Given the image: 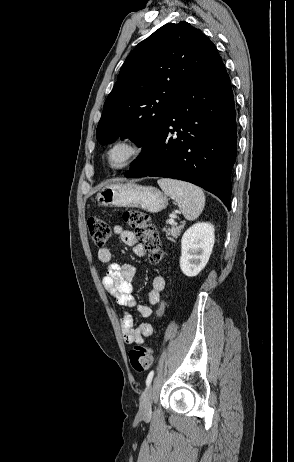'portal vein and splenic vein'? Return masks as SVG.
<instances>
[{
  "label": "portal vein and splenic vein",
  "mask_w": 294,
  "mask_h": 462,
  "mask_svg": "<svg viewBox=\"0 0 294 462\" xmlns=\"http://www.w3.org/2000/svg\"><path fill=\"white\" fill-rule=\"evenodd\" d=\"M168 222H169V224H171V225L175 224V221H174L173 219H169Z\"/></svg>",
  "instance_id": "obj_1"
}]
</instances>
